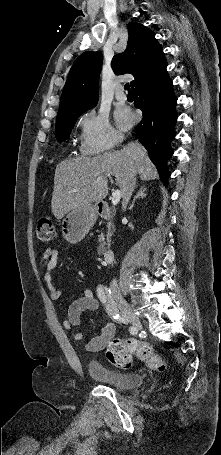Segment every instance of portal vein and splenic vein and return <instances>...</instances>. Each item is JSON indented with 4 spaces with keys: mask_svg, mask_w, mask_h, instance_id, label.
Segmentation results:
<instances>
[{
    "mask_svg": "<svg viewBox=\"0 0 221 455\" xmlns=\"http://www.w3.org/2000/svg\"><path fill=\"white\" fill-rule=\"evenodd\" d=\"M102 179H103V177L100 176V177H97L96 180L101 181ZM120 199H121V191L117 189L112 194V205L116 206L119 203Z\"/></svg>",
    "mask_w": 221,
    "mask_h": 455,
    "instance_id": "18ae733b",
    "label": "portal vein and splenic vein"
}]
</instances>
